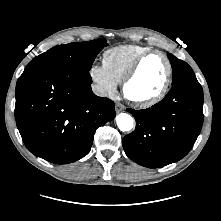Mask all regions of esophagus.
Instances as JSON below:
<instances>
[{
    "label": "esophagus",
    "mask_w": 221,
    "mask_h": 221,
    "mask_svg": "<svg viewBox=\"0 0 221 221\" xmlns=\"http://www.w3.org/2000/svg\"><path fill=\"white\" fill-rule=\"evenodd\" d=\"M125 110V106L119 102L115 103V111L116 113H120Z\"/></svg>",
    "instance_id": "1"
}]
</instances>
